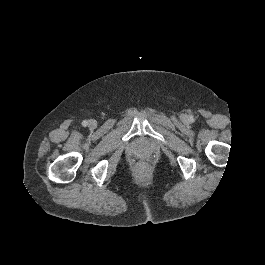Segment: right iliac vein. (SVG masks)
Instances as JSON below:
<instances>
[{
  "label": "right iliac vein",
  "mask_w": 265,
  "mask_h": 265,
  "mask_svg": "<svg viewBox=\"0 0 265 265\" xmlns=\"http://www.w3.org/2000/svg\"><path fill=\"white\" fill-rule=\"evenodd\" d=\"M96 125H97V122H96L95 119H90V120L88 121V127H89V128L93 129Z\"/></svg>",
  "instance_id": "63e3f726"
}]
</instances>
